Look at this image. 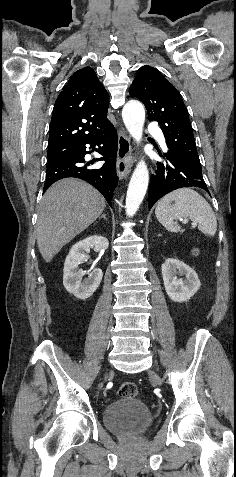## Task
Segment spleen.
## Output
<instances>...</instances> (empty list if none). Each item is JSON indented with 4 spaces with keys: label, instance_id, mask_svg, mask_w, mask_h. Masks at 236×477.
<instances>
[{
    "label": "spleen",
    "instance_id": "1",
    "mask_svg": "<svg viewBox=\"0 0 236 477\" xmlns=\"http://www.w3.org/2000/svg\"><path fill=\"white\" fill-rule=\"evenodd\" d=\"M155 215L170 232L180 231L176 222L179 218H189L207 236H214L217 231L216 216L210 204L190 188L178 189L164 196L156 206Z\"/></svg>",
    "mask_w": 236,
    "mask_h": 477
}]
</instances>
